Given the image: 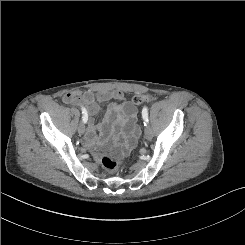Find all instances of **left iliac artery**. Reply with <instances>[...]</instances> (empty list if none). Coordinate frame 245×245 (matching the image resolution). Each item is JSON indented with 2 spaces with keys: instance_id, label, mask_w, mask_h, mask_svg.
Returning <instances> with one entry per match:
<instances>
[{
  "instance_id": "left-iliac-artery-1",
  "label": "left iliac artery",
  "mask_w": 245,
  "mask_h": 245,
  "mask_svg": "<svg viewBox=\"0 0 245 245\" xmlns=\"http://www.w3.org/2000/svg\"><path fill=\"white\" fill-rule=\"evenodd\" d=\"M142 118H143L144 124L146 126V124H148V109H147V107H144L142 109Z\"/></svg>"
}]
</instances>
